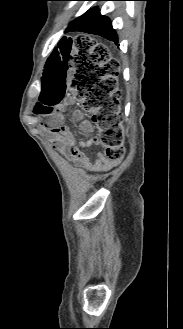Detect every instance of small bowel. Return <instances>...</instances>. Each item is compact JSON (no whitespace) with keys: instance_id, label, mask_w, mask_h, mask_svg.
Returning a JSON list of instances; mask_svg holds the SVG:
<instances>
[{"instance_id":"1","label":"small bowel","mask_w":183,"mask_h":329,"mask_svg":"<svg viewBox=\"0 0 183 329\" xmlns=\"http://www.w3.org/2000/svg\"><path fill=\"white\" fill-rule=\"evenodd\" d=\"M75 119L86 133H92L91 124L82 115L77 114ZM45 125L49 128L53 127V123L49 121V119L45 120ZM50 131L55 134V137L52 140L53 146L58 148L67 159L77 165L90 171H101L110 165L102 153H99L96 161L91 163L88 156L82 151V148H89L98 142L95 137H90L88 140H82L77 146L74 135L68 126L63 125Z\"/></svg>"}]
</instances>
